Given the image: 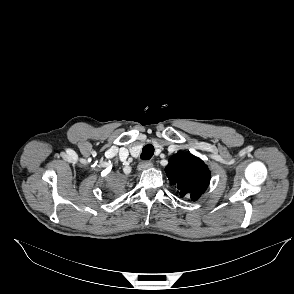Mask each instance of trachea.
<instances>
[{"mask_svg": "<svg viewBox=\"0 0 294 294\" xmlns=\"http://www.w3.org/2000/svg\"><path fill=\"white\" fill-rule=\"evenodd\" d=\"M154 154V146L151 144L145 145L142 150L141 159L149 160Z\"/></svg>", "mask_w": 294, "mask_h": 294, "instance_id": "1", "label": "trachea"}]
</instances>
